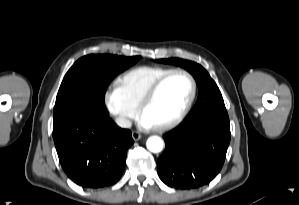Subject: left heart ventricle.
Listing matches in <instances>:
<instances>
[{"instance_id":"1","label":"left heart ventricle","mask_w":299,"mask_h":205,"mask_svg":"<svg viewBox=\"0 0 299 205\" xmlns=\"http://www.w3.org/2000/svg\"><path fill=\"white\" fill-rule=\"evenodd\" d=\"M191 93V82L184 74L171 76L160 88L143 113L153 126L174 118L185 106Z\"/></svg>"}]
</instances>
